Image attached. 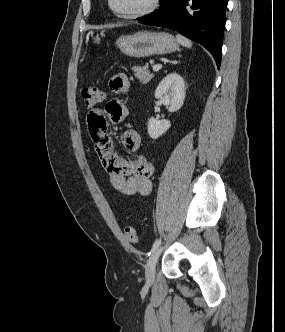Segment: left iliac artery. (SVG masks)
Segmentation results:
<instances>
[{
	"label": "left iliac artery",
	"instance_id": "44dca946",
	"mask_svg": "<svg viewBox=\"0 0 285 332\" xmlns=\"http://www.w3.org/2000/svg\"><path fill=\"white\" fill-rule=\"evenodd\" d=\"M160 244H161V238L157 239L154 242V244L152 246V249H151V252L149 253V255H153L155 253L156 249L160 246Z\"/></svg>",
	"mask_w": 285,
	"mask_h": 332
}]
</instances>
